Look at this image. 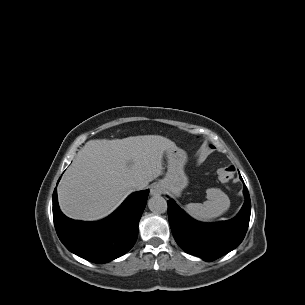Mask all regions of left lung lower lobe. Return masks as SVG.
Masks as SVG:
<instances>
[{"mask_svg": "<svg viewBox=\"0 0 305 305\" xmlns=\"http://www.w3.org/2000/svg\"><path fill=\"white\" fill-rule=\"evenodd\" d=\"M245 203L239 214L220 223L205 224L190 218L173 200L168 203L169 224L178 245L188 254L214 261L243 240L250 220L251 203L244 185Z\"/></svg>", "mask_w": 305, "mask_h": 305, "instance_id": "1", "label": "left lung lower lobe"}]
</instances>
